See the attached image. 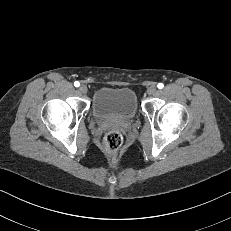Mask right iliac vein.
Instances as JSON below:
<instances>
[{
	"label": "right iliac vein",
	"instance_id": "right-iliac-vein-1",
	"mask_svg": "<svg viewBox=\"0 0 231 231\" xmlns=\"http://www.w3.org/2000/svg\"><path fill=\"white\" fill-rule=\"evenodd\" d=\"M79 91H80L81 93H86V92H87V87H86L85 85H81V86L79 87Z\"/></svg>",
	"mask_w": 231,
	"mask_h": 231
}]
</instances>
